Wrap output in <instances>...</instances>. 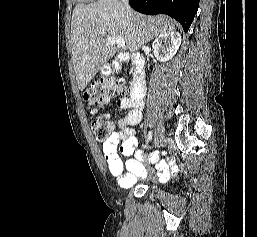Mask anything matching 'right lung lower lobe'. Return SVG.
<instances>
[{
  "mask_svg": "<svg viewBox=\"0 0 257 237\" xmlns=\"http://www.w3.org/2000/svg\"><path fill=\"white\" fill-rule=\"evenodd\" d=\"M200 0H129L130 6L148 15L166 14L176 19L187 32Z\"/></svg>",
  "mask_w": 257,
  "mask_h": 237,
  "instance_id": "right-lung-lower-lobe-1",
  "label": "right lung lower lobe"
}]
</instances>
